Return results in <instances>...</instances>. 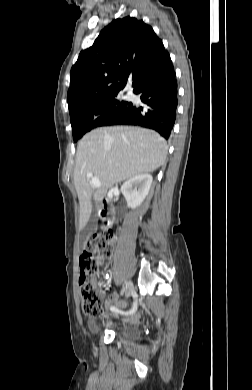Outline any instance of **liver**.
<instances>
[{
  "label": "liver",
  "mask_w": 252,
  "mask_h": 390,
  "mask_svg": "<svg viewBox=\"0 0 252 390\" xmlns=\"http://www.w3.org/2000/svg\"><path fill=\"white\" fill-rule=\"evenodd\" d=\"M167 143L157 132L140 127L97 128L78 143L74 184L80 202L79 228L90 219L93 196L98 205L108 189L136 175L155 171L164 164ZM97 177L101 186L94 189L87 174Z\"/></svg>",
  "instance_id": "liver-1"
}]
</instances>
